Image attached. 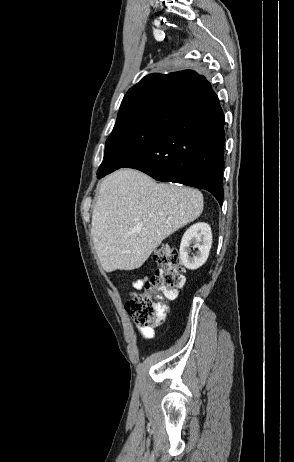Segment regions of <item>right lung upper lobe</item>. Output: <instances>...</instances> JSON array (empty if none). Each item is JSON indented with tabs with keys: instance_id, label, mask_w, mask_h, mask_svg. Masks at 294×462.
Wrapping results in <instances>:
<instances>
[{
	"instance_id": "obj_1",
	"label": "right lung upper lobe",
	"mask_w": 294,
	"mask_h": 462,
	"mask_svg": "<svg viewBox=\"0 0 294 462\" xmlns=\"http://www.w3.org/2000/svg\"><path fill=\"white\" fill-rule=\"evenodd\" d=\"M211 84L203 75L192 70H183L169 74L152 73L131 87L123 98L119 111L136 103L170 93H179L185 97L188 93H204Z\"/></svg>"
}]
</instances>
